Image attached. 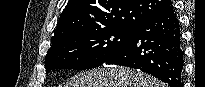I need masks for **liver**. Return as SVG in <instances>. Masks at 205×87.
Segmentation results:
<instances>
[{
	"label": "liver",
	"mask_w": 205,
	"mask_h": 87,
	"mask_svg": "<svg viewBox=\"0 0 205 87\" xmlns=\"http://www.w3.org/2000/svg\"><path fill=\"white\" fill-rule=\"evenodd\" d=\"M64 87H164L160 82L126 67L109 66L76 75Z\"/></svg>",
	"instance_id": "1"
}]
</instances>
